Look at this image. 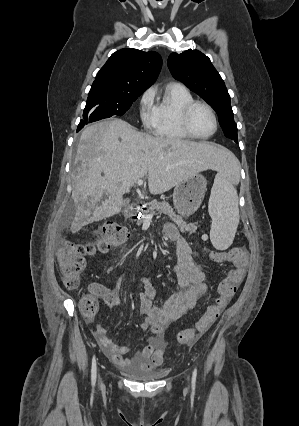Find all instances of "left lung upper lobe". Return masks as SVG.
<instances>
[{
  "mask_svg": "<svg viewBox=\"0 0 299 426\" xmlns=\"http://www.w3.org/2000/svg\"><path fill=\"white\" fill-rule=\"evenodd\" d=\"M168 68L175 79L183 82L214 108L225 136L237 142V126L230 95L210 59L198 50L172 53L168 58Z\"/></svg>",
  "mask_w": 299,
  "mask_h": 426,
  "instance_id": "1",
  "label": "left lung upper lobe"
}]
</instances>
